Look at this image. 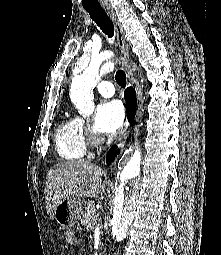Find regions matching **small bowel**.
I'll return each instance as SVG.
<instances>
[{
	"label": "small bowel",
	"mask_w": 221,
	"mask_h": 255,
	"mask_svg": "<svg viewBox=\"0 0 221 255\" xmlns=\"http://www.w3.org/2000/svg\"><path fill=\"white\" fill-rule=\"evenodd\" d=\"M66 241L70 245H75L77 243V236L73 230H69L66 233Z\"/></svg>",
	"instance_id": "c3829d8e"
}]
</instances>
